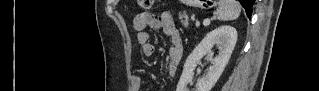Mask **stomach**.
<instances>
[{
	"instance_id": "0dacf381",
	"label": "stomach",
	"mask_w": 319,
	"mask_h": 91,
	"mask_svg": "<svg viewBox=\"0 0 319 91\" xmlns=\"http://www.w3.org/2000/svg\"><path fill=\"white\" fill-rule=\"evenodd\" d=\"M185 2H188V1H185ZM213 4H214L213 0H204L203 1V6H206V7H212Z\"/></svg>"
}]
</instances>
